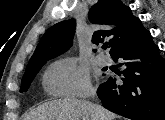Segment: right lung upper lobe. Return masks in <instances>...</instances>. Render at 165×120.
Listing matches in <instances>:
<instances>
[{
  "label": "right lung upper lobe",
  "mask_w": 165,
  "mask_h": 120,
  "mask_svg": "<svg viewBox=\"0 0 165 120\" xmlns=\"http://www.w3.org/2000/svg\"><path fill=\"white\" fill-rule=\"evenodd\" d=\"M88 18L95 26L92 43L97 45L107 40L111 56L148 32L140 19L133 16L131 9L120 0H99L90 8ZM75 26V20L70 19L50 27L41 38L28 65L52 59L68 50L72 45Z\"/></svg>",
  "instance_id": "cb5924a9"
}]
</instances>
